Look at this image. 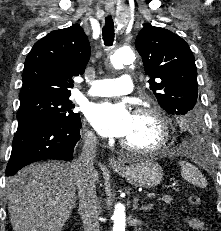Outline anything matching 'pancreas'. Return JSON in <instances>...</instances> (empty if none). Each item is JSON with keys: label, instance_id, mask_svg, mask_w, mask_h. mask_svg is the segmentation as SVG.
Masks as SVG:
<instances>
[{"label": "pancreas", "instance_id": "obj_1", "mask_svg": "<svg viewBox=\"0 0 221 231\" xmlns=\"http://www.w3.org/2000/svg\"><path fill=\"white\" fill-rule=\"evenodd\" d=\"M159 200L165 202L166 204H171V202H173V198L170 195H164Z\"/></svg>", "mask_w": 221, "mask_h": 231}]
</instances>
